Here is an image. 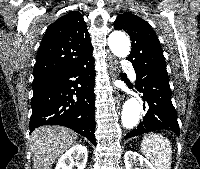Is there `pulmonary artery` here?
<instances>
[{
    "label": "pulmonary artery",
    "instance_id": "1",
    "mask_svg": "<svg viewBox=\"0 0 200 169\" xmlns=\"http://www.w3.org/2000/svg\"><path fill=\"white\" fill-rule=\"evenodd\" d=\"M130 75L132 76V78H135V73L133 71H130Z\"/></svg>",
    "mask_w": 200,
    "mask_h": 169
}]
</instances>
